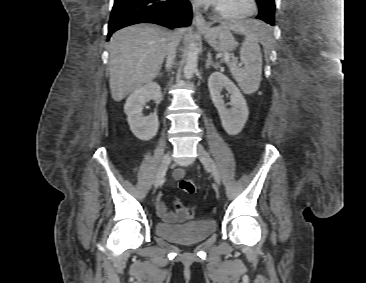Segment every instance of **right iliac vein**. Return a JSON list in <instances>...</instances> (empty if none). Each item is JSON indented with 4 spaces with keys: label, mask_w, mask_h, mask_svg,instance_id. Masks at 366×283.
Returning a JSON list of instances; mask_svg holds the SVG:
<instances>
[{
    "label": "right iliac vein",
    "mask_w": 366,
    "mask_h": 283,
    "mask_svg": "<svg viewBox=\"0 0 366 283\" xmlns=\"http://www.w3.org/2000/svg\"><path fill=\"white\" fill-rule=\"evenodd\" d=\"M170 162H171V156H170V153H168L163 157L161 165L157 171L155 183H154L155 188H157L159 186V184L162 182L163 177L168 169Z\"/></svg>",
    "instance_id": "63e3f726"
}]
</instances>
